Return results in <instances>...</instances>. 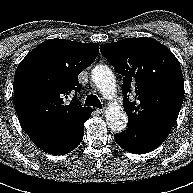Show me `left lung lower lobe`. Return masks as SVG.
Segmentation results:
<instances>
[{
	"label": "left lung lower lobe",
	"mask_w": 193,
	"mask_h": 193,
	"mask_svg": "<svg viewBox=\"0 0 193 193\" xmlns=\"http://www.w3.org/2000/svg\"><path fill=\"white\" fill-rule=\"evenodd\" d=\"M172 127L160 122L127 124V129L115 134L114 139L126 151L144 154L156 149L168 137Z\"/></svg>",
	"instance_id": "obj_1"
}]
</instances>
